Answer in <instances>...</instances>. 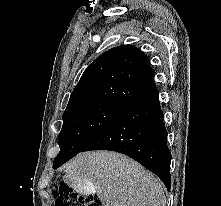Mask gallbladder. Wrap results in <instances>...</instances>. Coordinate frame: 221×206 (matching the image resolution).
Wrapping results in <instances>:
<instances>
[{
    "label": "gallbladder",
    "mask_w": 221,
    "mask_h": 206,
    "mask_svg": "<svg viewBox=\"0 0 221 206\" xmlns=\"http://www.w3.org/2000/svg\"><path fill=\"white\" fill-rule=\"evenodd\" d=\"M65 181L73 194H93L94 192L93 185H89V181H69L68 179Z\"/></svg>",
    "instance_id": "obj_1"
}]
</instances>
